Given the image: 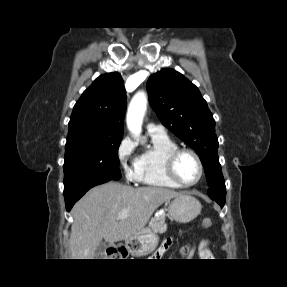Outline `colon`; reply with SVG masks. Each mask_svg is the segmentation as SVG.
Here are the masks:
<instances>
[{
  "label": "colon",
  "instance_id": "5ec220e1",
  "mask_svg": "<svg viewBox=\"0 0 287 287\" xmlns=\"http://www.w3.org/2000/svg\"><path fill=\"white\" fill-rule=\"evenodd\" d=\"M212 221L209 217H203L200 220V227L202 230H207L211 227ZM189 253V247L188 246H183L181 248V254L182 255H187ZM127 254L126 249L124 247H116L111 250L110 255L112 257H125Z\"/></svg>",
  "mask_w": 287,
  "mask_h": 287
}]
</instances>
